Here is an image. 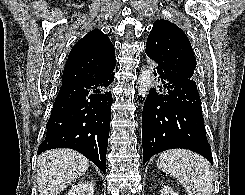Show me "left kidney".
<instances>
[{
	"label": "left kidney",
	"instance_id": "left-kidney-1",
	"mask_svg": "<svg viewBox=\"0 0 245 195\" xmlns=\"http://www.w3.org/2000/svg\"><path fill=\"white\" fill-rule=\"evenodd\" d=\"M160 195H178V193H176L173 188L168 187V186H164L161 189V194Z\"/></svg>",
	"mask_w": 245,
	"mask_h": 195
}]
</instances>
